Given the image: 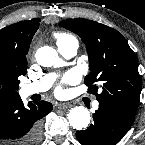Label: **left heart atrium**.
Instances as JSON below:
<instances>
[{
  "mask_svg": "<svg viewBox=\"0 0 145 145\" xmlns=\"http://www.w3.org/2000/svg\"><path fill=\"white\" fill-rule=\"evenodd\" d=\"M76 76L73 74V73H69L66 77H65V80L64 82H73L75 80ZM62 87L61 85H59L57 88H56V93L57 94H61L62 93Z\"/></svg>",
  "mask_w": 145,
  "mask_h": 145,
  "instance_id": "39dd6f15",
  "label": "left heart atrium"
}]
</instances>
